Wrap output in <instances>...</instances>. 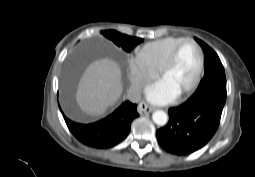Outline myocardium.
Returning <instances> with one entry per match:
<instances>
[{
	"label": "myocardium",
	"instance_id": "1",
	"mask_svg": "<svg viewBox=\"0 0 255 177\" xmlns=\"http://www.w3.org/2000/svg\"><path fill=\"white\" fill-rule=\"evenodd\" d=\"M185 44H193L196 47V49L198 50L199 67H198V71H197L196 76H195L194 80L192 81V83L188 87H186L184 90H182L181 92L178 93V96H180V97L186 96V95L190 94L191 92H193L198 87V85L200 84V81L202 79L203 72H204L205 57H204V52H203L202 48L200 47V45L193 39L185 38L183 41H181L178 45L175 46V48L171 52L169 58L167 59L165 64L160 69V76L163 78L165 76V74L175 65L178 53H179L180 49Z\"/></svg>",
	"mask_w": 255,
	"mask_h": 177
}]
</instances>
